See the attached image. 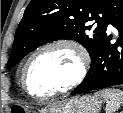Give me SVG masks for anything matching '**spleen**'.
<instances>
[{
    "label": "spleen",
    "instance_id": "1",
    "mask_svg": "<svg viewBox=\"0 0 123 113\" xmlns=\"http://www.w3.org/2000/svg\"><path fill=\"white\" fill-rule=\"evenodd\" d=\"M96 96L106 100V113H115L123 104V91L119 89H105L96 93Z\"/></svg>",
    "mask_w": 123,
    "mask_h": 113
}]
</instances>
